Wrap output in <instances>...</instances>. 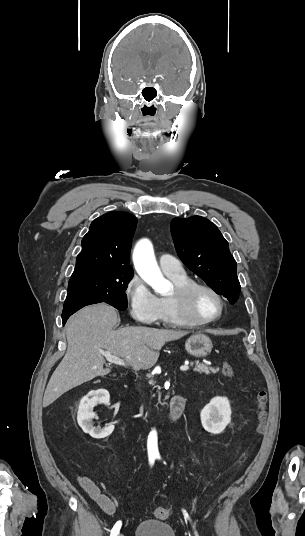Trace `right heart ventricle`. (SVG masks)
Masks as SVG:
<instances>
[{
  "instance_id": "e07e8e85",
  "label": "right heart ventricle",
  "mask_w": 305,
  "mask_h": 536,
  "mask_svg": "<svg viewBox=\"0 0 305 536\" xmlns=\"http://www.w3.org/2000/svg\"><path fill=\"white\" fill-rule=\"evenodd\" d=\"M166 276L174 283L175 286L187 284L194 281L193 278L190 277L186 272L181 275L166 274ZM168 297H163L159 299L161 304L159 320L161 324L166 327L183 326L184 324L176 314Z\"/></svg>"
}]
</instances>
